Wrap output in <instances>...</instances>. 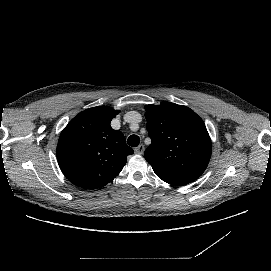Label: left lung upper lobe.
Instances as JSON below:
<instances>
[{"label":"left lung upper lobe","mask_w":271,"mask_h":271,"mask_svg":"<svg viewBox=\"0 0 271 271\" xmlns=\"http://www.w3.org/2000/svg\"><path fill=\"white\" fill-rule=\"evenodd\" d=\"M147 130L152 142L145 150L155 168L200 176L212 151L203 120L190 108L163 102L146 105Z\"/></svg>","instance_id":"left-lung-upper-lobe-1"}]
</instances>
